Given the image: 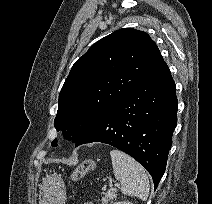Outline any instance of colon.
Wrapping results in <instances>:
<instances>
[{
    "mask_svg": "<svg viewBox=\"0 0 212 204\" xmlns=\"http://www.w3.org/2000/svg\"><path fill=\"white\" fill-rule=\"evenodd\" d=\"M95 169V162L93 160H84L81 162L72 173V180L78 181L87 173Z\"/></svg>",
    "mask_w": 212,
    "mask_h": 204,
    "instance_id": "colon-1",
    "label": "colon"
}]
</instances>
